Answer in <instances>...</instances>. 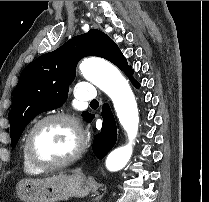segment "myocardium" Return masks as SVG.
<instances>
[{
  "label": "myocardium",
  "mask_w": 209,
  "mask_h": 202,
  "mask_svg": "<svg viewBox=\"0 0 209 202\" xmlns=\"http://www.w3.org/2000/svg\"><path fill=\"white\" fill-rule=\"evenodd\" d=\"M49 121H62L65 122L67 124H69L77 133V145L76 148L74 150V152L68 156L67 158L58 161V162H54V163H45V162H41L39 160H37L33 153H32V149H31V141H32V137L34 132L44 123L49 122ZM85 144H86V138H85V134L84 131L79 123V121L66 113H62V112H56V113H52V114H47L41 118H39L29 129L26 138H25V142H24V153L26 155L27 160L29 161V163L34 166L36 169L40 170V171H48V170H57V169H62L67 167L68 165L72 164L73 162H75L76 160H78L81 155L83 154L84 150H85Z\"/></svg>",
  "instance_id": "f54148a6"
}]
</instances>
